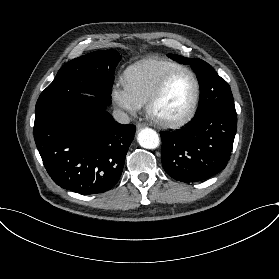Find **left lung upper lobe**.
Here are the masks:
<instances>
[{
  "instance_id": "left-lung-upper-lobe-1",
  "label": "left lung upper lobe",
  "mask_w": 279,
  "mask_h": 279,
  "mask_svg": "<svg viewBox=\"0 0 279 279\" xmlns=\"http://www.w3.org/2000/svg\"><path fill=\"white\" fill-rule=\"evenodd\" d=\"M169 56L182 64H190L197 75L200 97L195 116L210 110L237 115L230 86L208 63L198 58H185L173 54Z\"/></svg>"
}]
</instances>
